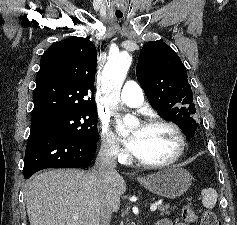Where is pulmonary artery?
<instances>
[{
	"mask_svg": "<svg viewBox=\"0 0 237 225\" xmlns=\"http://www.w3.org/2000/svg\"><path fill=\"white\" fill-rule=\"evenodd\" d=\"M120 101L130 107L142 105L144 102V94L141 86L135 81H127L121 91Z\"/></svg>",
	"mask_w": 237,
	"mask_h": 225,
	"instance_id": "obj_1",
	"label": "pulmonary artery"
}]
</instances>
